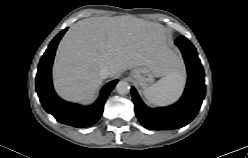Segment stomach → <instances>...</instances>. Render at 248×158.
<instances>
[{
	"mask_svg": "<svg viewBox=\"0 0 248 158\" xmlns=\"http://www.w3.org/2000/svg\"><path fill=\"white\" fill-rule=\"evenodd\" d=\"M174 68H175V64L169 63L167 64L164 72L167 74ZM131 77L138 83L140 87L146 89L150 85H152L156 75L154 74L151 68L147 66H141L131 71Z\"/></svg>",
	"mask_w": 248,
	"mask_h": 158,
	"instance_id": "1",
	"label": "stomach"
}]
</instances>
